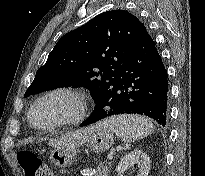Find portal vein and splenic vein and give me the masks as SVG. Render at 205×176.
I'll return each instance as SVG.
<instances>
[{"instance_id": "portal-vein-and-splenic-vein-1", "label": "portal vein and splenic vein", "mask_w": 205, "mask_h": 176, "mask_svg": "<svg viewBox=\"0 0 205 176\" xmlns=\"http://www.w3.org/2000/svg\"><path fill=\"white\" fill-rule=\"evenodd\" d=\"M113 154H114V150H111L110 154L108 155L109 160L113 159Z\"/></svg>"}]
</instances>
